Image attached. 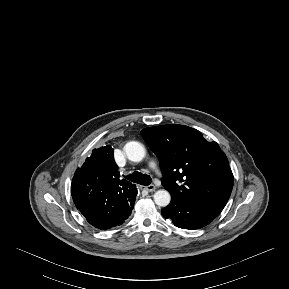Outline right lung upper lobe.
<instances>
[{"mask_svg":"<svg viewBox=\"0 0 289 289\" xmlns=\"http://www.w3.org/2000/svg\"><path fill=\"white\" fill-rule=\"evenodd\" d=\"M119 177L112 147L94 149L73 177L72 183L76 185L72 198L76 208L80 212L98 214L135 201L136 186Z\"/></svg>","mask_w":289,"mask_h":289,"instance_id":"obj_1","label":"right lung upper lobe"}]
</instances>
